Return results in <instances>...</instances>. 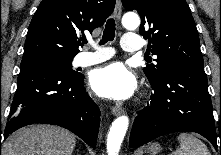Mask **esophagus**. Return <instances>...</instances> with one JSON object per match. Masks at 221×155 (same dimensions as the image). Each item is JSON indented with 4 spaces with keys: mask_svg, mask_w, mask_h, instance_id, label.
I'll list each match as a JSON object with an SVG mask.
<instances>
[{
    "mask_svg": "<svg viewBox=\"0 0 221 155\" xmlns=\"http://www.w3.org/2000/svg\"><path fill=\"white\" fill-rule=\"evenodd\" d=\"M122 13V3L121 0H116L115 9H114V17L119 21ZM124 110L121 107L114 106L112 107V113L115 116L122 114Z\"/></svg>",
    "mask_w": 221,
    "mask_h": 155,
    "instance_id": "34e87169",
    "label": "esophagus"
}]
</instances>
